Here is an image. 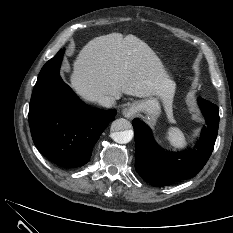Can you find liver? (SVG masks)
Listing matches in <instances>:
<instances>
[{"mask_svg":"<svg viewBox=\"0 0 233 233\" xmlns=\"http://www.w3.org/2000/svg\"><path fill=\"white\" fill-rule=\"evenodd\" d=\"M70 81L89 102H98L102 96L157 95L170 105L175 92V82L160 58L132 34L111 33L89 41L73 64Z\"/></svg>","mask_w":233,"mask_h":233,"instance_id":"1","label":"liver"}]
</instances>
